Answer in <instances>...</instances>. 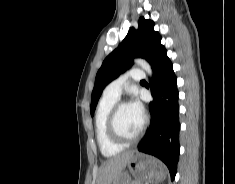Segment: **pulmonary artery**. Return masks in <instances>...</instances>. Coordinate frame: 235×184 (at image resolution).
<instances>
[{"mask_svg":"<svg viewBox=\"0 0 235 184\" xmlns=\"http://www.w3.org/2000/svg\"><path fill=\"white\" fill-rule=\"evenodd\" d=\"M142 73V69H131L130 71L125 72L105 87L104 95L118 99L121 95L122 89L125 87L128 80L130 78L138 79Z\"/></svg>","mask_w":235,"mask_h":184,"instance_id":"1","label":"pulmonary artery"}]
</instances>
